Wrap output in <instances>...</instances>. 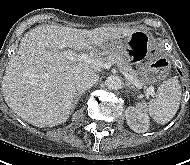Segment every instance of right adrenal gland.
Returning a JSON list of instances; mask_svg holds the SVG:
<instances>
[{
  "mask_svg": "<svg viewBox=\"0 0 190 165\" xmlns=\"http://www.w3.org/2000/svg\"><path fill=\"white\" fill-rule=\"evenodd\" d=\"M85 92H76L74 97H73V101H72V106H71V110L74 111L78 101L80 100L81 96L84 95Z\"/></svg>",
  "mask_w": 190,
  "mask_h": 165,
  "instance_id": "1",
  "label": "right adrenal gland"
}]
</instances>
